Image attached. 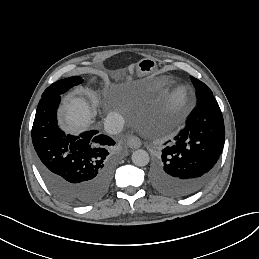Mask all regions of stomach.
I'll return each mask as SVG.
<instances>
[{"mask_svg":"<svg viewBox=\"0 0 259 259\" xmlns=\"http://www.w3.org/2000/svg\"><path fill=\"white\" fill-rule=\"evenodd\" d=\"M156 68V62L152 58H145L138 62L137 70L140 74H148L154 71Z\"/></svg>","mask_w":259,"mask_h":259,"instance_id":"obj_1","label":"stomach"}]
</instances>
